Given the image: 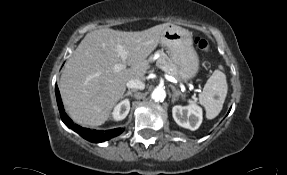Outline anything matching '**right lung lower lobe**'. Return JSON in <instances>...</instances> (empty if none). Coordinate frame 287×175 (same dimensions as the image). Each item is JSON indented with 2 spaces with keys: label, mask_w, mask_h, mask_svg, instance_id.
Here are the masks:
<instances>
[{
  "label": "right lung lower lobe",
  "mask_w": 287,
  "mask_h": 175,
  "mask_svg": "<svg viewBox=\"0 0 287 175\" xmlns=\"http://www.w3.org/2000/svg\"><path fill=\"white\" fill-rule=\"evenodd\" d=\"M55 93H56V99H57V104L60 112V117L64 124L78 133L80 136H82L84 139L90 141V142H103L106 140H109L115 136H118L123 132L121 129H112V130H107V131H102V130H90L88 128H83L77 124H74L73 121L68 117V115L65 113V110L63 108V104L61 101L59 89L56 85L55 87Z\"/></svg>",
  "instance_id": "obj_1"
}]
</instances>
